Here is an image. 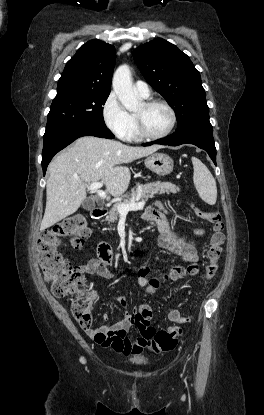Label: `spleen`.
Returning <instances> with one entry per match:
<instances>
[{"label": "spleen", "mask_w": 264, "mask_h": 415, "mask_svg": "<svg viewBox=\"0 0 264 415\" xmlns=\"http://www.w3.org/2000/svg\"><path fill=\"white\" fill-rule=\"evenodd\" d=\"M192 164L193 181L199 196L207 204L214 205L217 199V187L213 175L198 158L192 157Z\"/></svg>", "instance_id": "3e777b00"}]
</instances>
